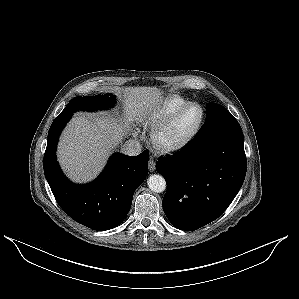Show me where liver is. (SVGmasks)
I'll return each mask as SVG.
<instances>
[{
  "instance_id": "obj_1",
  "label": "liver",
  "mask_w": 299,
  "mask_h": 299,
  "mask_svg": "<svg viewBox=\"0 0 299 299\" xmlns=\"http://www.w3.org/2000/svg\"><path fill=\"white\" fill-rule=\"evenodd\" d=\"M156 87L123 89L125 124L109 116L75 115L64 130L58 146V161L75 182L93 180L103 169L111 150L129 131L136 117L151 110L161 98Z\"/></svg>"
}]
</instances>
